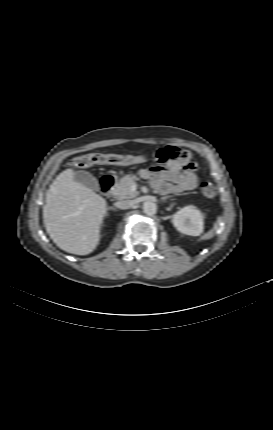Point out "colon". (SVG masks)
Listing matches in <instances>:
<instances>
[{
	"mask_svg": "<svg viewBox=\"0 0 273 430\" xmlns=\"http://www.w3.org/2000/svg\"><path fill=\"white\" fill-rule=\"evenodd\" d=\"M149 157L147 155H122V154H103L91 153L75 157L70 161V166L74 168H87L94 165H129L144 162ZM162 157L161 159H164ZM201 191L207 198H213L216 195V187L211 182H204L201 185Z\"/></svg>",
	"mask_w": 273,
	"mask_h": 430,
	"instance_id": "1",
	"label": "colon"
}]
</instances>
